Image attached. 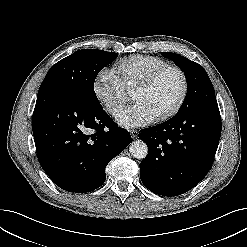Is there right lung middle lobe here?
<instances>
[{
    "label": "right lung middle lobe",
    "mask_w": 247,
    "mask_h": 247,
    "mask_svg": "<svg viewBox=\"0 0 247 247\" xmlns=\"http://www.w3.org/2000/svg\"><path fill=\"white\" fill-rule=\"evenodd\" d=\"M117 56V53L97 49L76 51L52 66L39 92L51 87H71L80 91L91 103L99 104L94 91L95 78Z\"/></svg>",
    "instance_id": "obj_1"
}]
</instances>
